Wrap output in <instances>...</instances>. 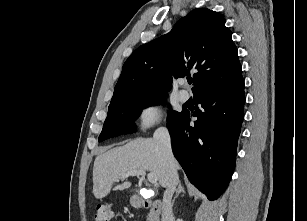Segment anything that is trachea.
I'll list each match as a JSON object with an SVG mask.
<instances>
[{
  "mask_svg": "<svg viewBox=\"0 0 307 221\" xmlns=\"http://www.w3.org/2000/svg\"><path fill=\"white\" fill-rule=\"evenodd\" d=\"M188 83L191 84L193 82L192 79H187Z\"/></svg>",
  "mask_w": 307,
  "mask_h": 221,
  "instance_id": "obj_1",
  "label": "trachea"
}]
</instances>
